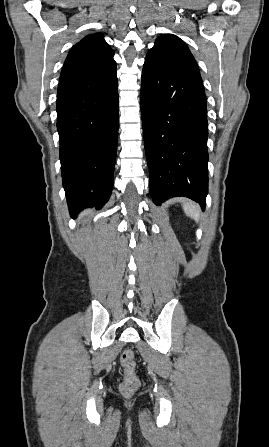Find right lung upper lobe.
<instances>
[{"instance_id": "1", "label": "right lung upper lobe", "mask_w": 269, "mask_h": 447, "mask_svg": "<svg viewBox=\"0 0 269 447\" xmlns=\"http://www.w3.org/2000/svg\"><path fill=\"white\" fill-rule=\"evenodd\" d=\"M113 55L102 34L88 35L70 50L60 80L95 74L115 66Z\"/></svg>"}]
</instances>
